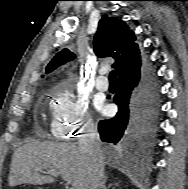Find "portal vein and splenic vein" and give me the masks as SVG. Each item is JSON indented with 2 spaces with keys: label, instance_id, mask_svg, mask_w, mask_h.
<instances>
[{
  "label": "portal vein and splenic vein",
  "instance_id": "1",
  "mask_svg": "<svg viewBox=\"0 0 188 189\" xmlns=\"http://www.w3.org/2000/svg\"><path fill=\"white\" fill-rule=\"evenodd\" d=\"M47 173L54 176V177L58 176V173L54 170H48ZM69 189H74V187H70Z\"/></svg>",
  "mask_w": 188,
  "mask_h": 189
}]
</instances>
